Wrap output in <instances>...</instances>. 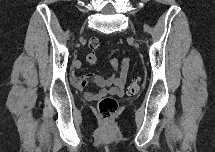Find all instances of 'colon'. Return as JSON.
<instances>
[{
    "label": "colon",
    "instance_id": "1",
    "mask_svg": "<svg viewBox=\"0 0 215 152\" xmlns=\"http://www.w3.org/2000/svg\"><path fill=\"white\" fill-rule=\"evenodd\" d=\"M99 40L98 38L92 37L89 39L88 45L91 49H96L99 47ZM86 60L90 64H95L97 61V57L94 53H88L86 56ZM141 82L140 80L132 81L129 86L127 87V93L129 95L137 94L140 91ZM119 108L118 101L113 97H103L98 102V111L101 117L104 120H111L115 114L117 113Z\"/></svg>",
    "mask_w": 215,
    "mask_h": 152
}]
</instances>
